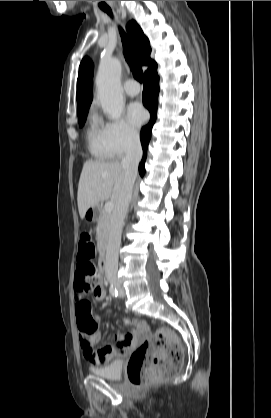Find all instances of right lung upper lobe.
Here are the masks:
<instances>
[{"instance_id": "cb5924a9", "label": "right lung upper lobe", "mask_w": 271, "mask_h": 418, "mask_svg": "<svg viewBox=\"0 0 271 418\" xmlns=\"http://www.w3.org/2000/svg\"><path fill=\"white\" fill-rule=\"evenodd\" d=\"M127 31L135 45L137 59L141 65L148 66V70L157 67L156 62L150 59L151 48L148 38L144 35L139 25L131 20L127 24ZM146 71V72H147ZM145 72V73H146ZM92 76L93 65L89 58H84L79 67L77 80V113L78 116L87 114L92 102Z\"/></svg>"}]
</instances>
